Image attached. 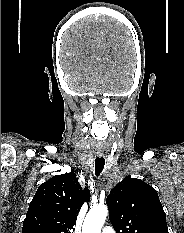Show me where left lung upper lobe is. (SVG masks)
Segmentation results:
<instances>
[{"label":"left lung upper lobe","instance_id":"1","mask_svg":"<svg viewBox=\"0 0 184 233\" xmlns=\"http://www.w3.org/2000/svg\"><path fill=\"white\" fill-rule=\"evenodd\" d=\"M106 204L116 233H169L157 191L141 179L124 178Z\"/></svg>","mask_w":184,"mask_h":233}]
</instances>
